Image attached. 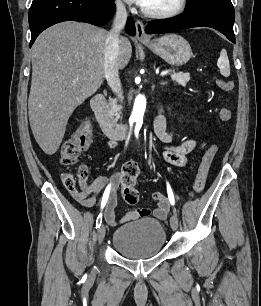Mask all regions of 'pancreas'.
<instances>
[{
  "label": "pancreas",
  "mask_w": 261,
  "mask_h": 306,
  "mask_svg": "<svg viewBox=\"0 0 261 306\" xmlns=\"http://www.w3.org/2000/svg\"><path fill=\"white\" fill-rule=\"evenodd\" d=\"M172 80L181 85V86H186L187 82L190 80V75L188 73H173L171 75ZM111 111L115 114L116 117H119V111L120 107L117 106L115 100H111Z\"/></svg>",
  "instance_id": "obj_1"
}]
</instances>
